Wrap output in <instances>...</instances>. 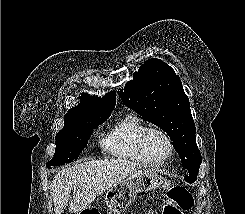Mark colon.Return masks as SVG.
<instances>
[{
	"instance_id": "1",
	"label": "colon",
	"mask_w": 245,
	"mask_h": 214,
	"mask_svg": "<svg viewBox=\"0 0 245 214\" xmlns=\"http://www.w3.org/2000/svg\"><path fill=\"white\" fill-rule=\"evenodd\" d=\"M193 207V198L184 187L171 189L165 197L163 214H184ZM145 214H154L148 211Z\"/></svg>"
}]
</instances>
